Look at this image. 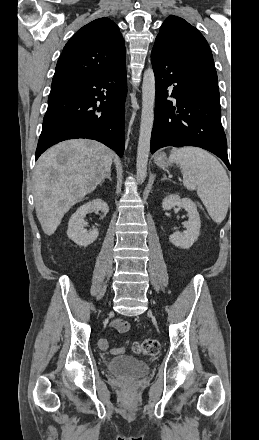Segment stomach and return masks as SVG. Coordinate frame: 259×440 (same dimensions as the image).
<instances>
[{
    "mask_svg": "<svg viewBox=\"0 0 259 440\" xmlns=\"http://www.w3.org/2000/svg\"><path fill=\"white\" fill-rule=\"evenodd\" d=\"M154 160L155 163L161 168H168L173 163L172 161H170V159L167 158L166 154L163 152H159L158 154H156Z\"/></svg>",
    "mask_w": 259,
    "mask_h": 440,
    "instance_id": "0dacf381",
    "label": "stomach"
}]
</instances>
